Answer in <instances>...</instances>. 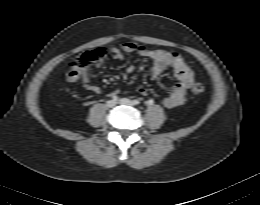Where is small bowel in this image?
<instances>
[{"label": "small bowel", "instance_id": "small-bowel-1", "mask_svg": "<svg viewBox=\"0 0 260 205\" xmlns=\"http://www.w3.org/2000/svg\"><path fill=\"white\" fill-rule=\"evenodd\" d=\"M123 53L138 55L150 60V74L152 77L159 76L166 69H172L177 82L172 92L162 99V105L165 108H174L184 103L187 91L193 83L194 73L179 53L151 50L146 46L132 42L124 43L120 48L111 50L112 57L116 60H121ZM134 69L133 65L127 67L129 73L133 72ZM64 80L69 83L80 82L88 91L95 94L101 93V89L93 83L87 69L78 67L74 62L68 63V70L64 74ZM136 90L141 95H146L147 93L146 88L142 85L138 86ZM113 94L117 95L118 92Z\"/></svg>", "mask_w": 260, "mask_h": 205}]
</instances>
